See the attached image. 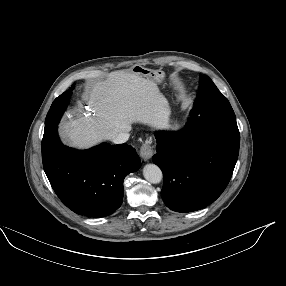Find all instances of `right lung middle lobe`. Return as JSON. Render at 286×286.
<instances>
[{
    "label": "right lung middle lobe",
    "instance_id": "right-lung-middle-lobe-1",
    "mask_svg": "<svg viewBox=\"0 0 286 286\" xmlns=\"http://www.w3.org/2000/svg\"><path fill=\"white\" fill-rule=\"evenodd\" d=\"M73 88L74 87L70 88L54 100L45 119L44 131L49 130L52 127L58 125L59 120L69 103V98L71 96Z\"/></svg>",
    "mask_w": 286,
    "mask_h": 286
}]
</instances>
